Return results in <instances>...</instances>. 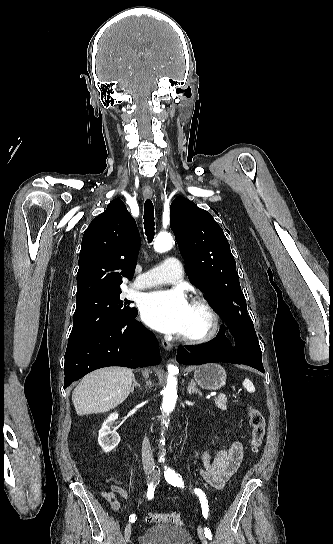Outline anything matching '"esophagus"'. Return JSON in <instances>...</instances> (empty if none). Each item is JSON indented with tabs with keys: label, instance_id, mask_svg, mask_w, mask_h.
Segmentation results:
<instances>
[{
	"label": "esophagus",
	"instance_id": "obj_1",
	"mask_svg": "<svg viewBox=\"0 0 333 544\" xmlns=\"http://www.w3.org/2000/svg\"><path fill=\"white\" fill-rule=\"evenodd\" d=\"M143 195L146 198H151L152 195H153V190L151 188H144L143 189ZM161 344H162L163 348L168 350V351L172 350V348H173L172 343H170L168 341L162 340Z\"/></svg>",
	"mask_w": 333,
	"mask_h": 544
}]
</instances>
